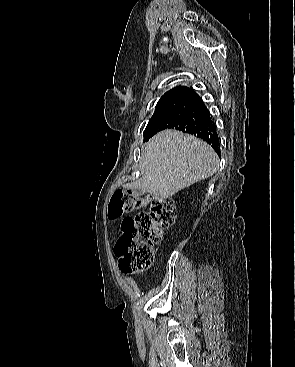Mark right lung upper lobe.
Listing matches in <instances>:
<instances>
[{"label":"right lung upper lobe","mask_w":295,"mask_h":367,"mask_svg":"<svg viewBox=\"0 0 295 367\" xmlns=\"http://www.w3.org/2000/svg\"><path fill=\"white\" fill-rule=\"evenodd\" d=\"M173 89H189V88H187V87H185V86H183V87L178 86V87H175V88H173Z\"/></svg>","instance_id":"right-lung-upper-lobe-1"}]
</instances>
